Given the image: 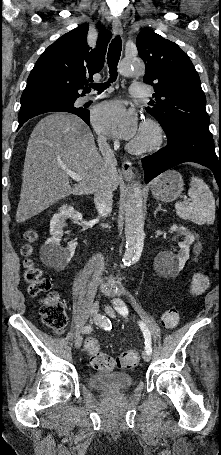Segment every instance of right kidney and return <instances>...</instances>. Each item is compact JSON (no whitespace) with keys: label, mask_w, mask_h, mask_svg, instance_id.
<instances>
[{"label":"right kidney","mask_w":221,"mask_h":455,"mask_svg":"<svg viewBox=\"0 0 221 455\" xmlns=\"http://www.w3.org/2000/svg\"><path fill=\"white\" fill-rule=\"evenodd\" d=\"M69 218L80 221L82 220V214L72 206L63 205L59 213L52 217L50 221L51 237L47 239L40 251L42 262L57 270L64 269L71 261L77 245V243H71L67 248H63L60 245L63 227L65 226V221Z\"/></svg>","instance_id":"obj_1"}]
</instances>
